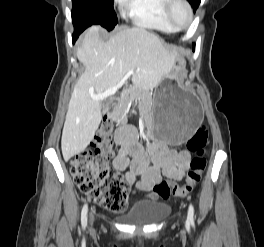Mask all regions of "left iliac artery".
<instances>
[{"label": "left iliac artery", "mask_w": 264, "mask_h": 247, "mask_svg": "<svg viewBox=\"0 0 264 247\" xmlns=\"http://www.w3.org/2000/svg\"><path fill=\"white\" fill-rule=\"evenodd\" d=\"M187 220L189 223L194 224V207L192 204L189 205Z\"/></svg>", "instance_id": "1"}]
</instances>
